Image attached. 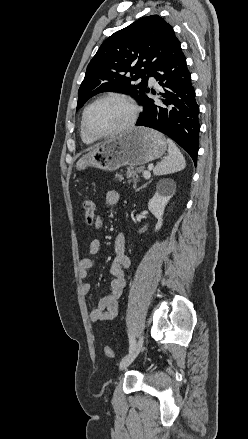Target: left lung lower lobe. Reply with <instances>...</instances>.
<instances>
[{
	"label": "left lung lower lobe",
	"instance_id": "1",
	"mask_svg": "<svg viewBox=\"0 0 248 439\" xmlns=\"http://www.w3.org/2000/svg\"><path fill=\"white\" fill-rule=\"evenodd\" d=\"M152 76L162 90L159 99L149 98L146 88L141 100L143 113L137 120L138 126L156 129L178 143L197 162L199 131V106L191 83V74L186 65L180 42L171 47L166 57L154 70Z\"/></svg>",
	"mask_w": 248,
	"mask_h": 439
}]
</instances>
